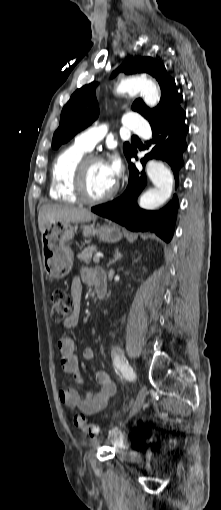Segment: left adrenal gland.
Listing matches in <instances>:
<instances>
[{
	"label": "left adrenal gland",
	"mask_w": 221,
	"mask_h": 510,
	"mask_svg": "<svg viewBox=\"0 0 221 510\" xmlns=\"http://www.w3.org/2000/svg\"><path fill=\"white\" fill-rule=\"evenodd\" d=\"M122 257H123V255L119 252V249L117 248L115 250L113 259L109 261V263L107 264V267L114 264L116 261L120 260Z\"/></svg>",
	"instance_id": "obj_1"
}]
</instances>
